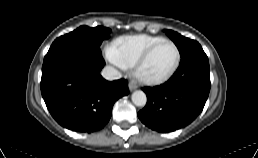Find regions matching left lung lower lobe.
I'll use <instances>...</instances> for the list:
<instances>
[{"label":"left lung lower lobe","mask_w":258,"mask_h":158,"mask_svg":"<svg viewBox=\"0 0 258 158\" xmlns=\"http://www.w3.org/2000/svg\"><path fill=\"white\" fill-rule=\"evenodd\" d=\"M146 106L139 119L158 132H171L191 123L203 110L210 91L208 57L199 43L181 56L179 68L164 84L143 88Z\"/></svg>","instance_id":"left-lung-lower-lobe-1"}]
</instances>
